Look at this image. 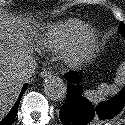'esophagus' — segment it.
<instances>
[{
	"instance_id": "1",
	"label": "esophagus",
	"mask_w": 125,
	"mask_h": 125,
	"mask_svg": "<svg viewBox=\"0 0 125 125\" xmlns=\"http://www.w3.org/2000/svg\"><path fill=\"white\" fill-rule=\"evenodd\" d=\"M40 76L43 77V78H44V77H50V76H51V71L44 69V70L40 73Z\"/></svg>"
}]
</instances>
